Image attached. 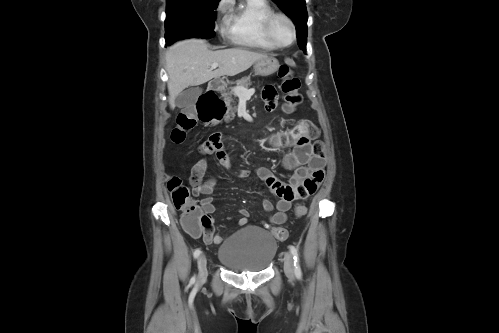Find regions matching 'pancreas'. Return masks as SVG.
Instances as JSON below:
<instances>
[{"instance_id": "cf45deb5", "label": "pancreas", "mask_w": 499, "mask_h": 333, "mask_svg": "<svg viewBox=\"0 0 499 333\" xmlns=\"http://www.w3.org/2000/svg\"><path fill=\"white\" fill-rule=\"evenodd\" d=\"M237 86H242L245 88H248L251 85V80L250 77H244L238 81H236ZM233 95H235L234 91L232 88H226L222 91V96L224 97V102L226 104V107L228 111L231 112V117H234V111L236 110L235 107H233L232 103H234ZM229 116V117H230Z\"/></svg>"}]
</instances>
